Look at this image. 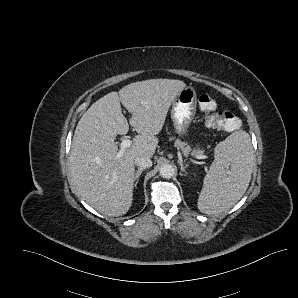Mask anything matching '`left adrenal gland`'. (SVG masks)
I'll return each instance as SVG.
<instances>
[{
	"instance_id": "obj_1",
	"label": "left adrenal gland",
	"mask_w": 298,
	"mask_h": 298,
	"mask_svg": "<svg viewBox=\"0 0 298 298\" xmlns=\"http://www.w3.org/2000/svg\"><path fill=\"white\" fill-rule=\"evenodd\" d=\"M179 164H180V170L182 172H185V167L188 165V163H183V161L181 159L178 160Z\"/></svg>"
}]
</instances>
